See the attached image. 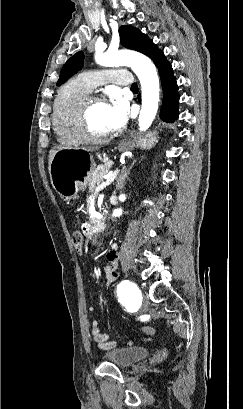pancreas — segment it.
Segmentation results:
<instances>
[{
	"instance_id": "pancreas-1",
	"label": "pancreas",
	"mask_w": 243,
	"mask_h": 409,
	"mask_svg": "<svg viewBox=\"0 0 243 409\" xmlns=\"http://www.w3.org/2000/svg\"><path fill=\"white\" fill-rule=\"evenodd\" d=\"M112 163L107 162L105 164L98 165L89 175L88 178V187L89 192L93 193L95 187L98 186L101 182V175L109 172Z\"/></svg>"
}]
</instances>
